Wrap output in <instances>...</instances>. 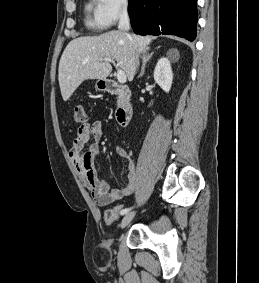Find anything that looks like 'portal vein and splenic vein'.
Segmentation results:
<instances>
[{"mask_svg":"<svg viewBox=\"0 0 259 283\" xmlns=\"http://www.w3.org/2000/svg\"><path fill=\"white\" fill-rule=\"evenodd\" d=\"M102 61H107V62H111L116 68H117V79L118 82L123 84L126 82V74L124 71H122L121 69H118V65L115 63V61L111 58H103L101 59Z\"/></svg>","mask_w":259,"mask_h":283,"instance_id":"obj_1","label":"portal vein and splenic vein"}]
</instances>
